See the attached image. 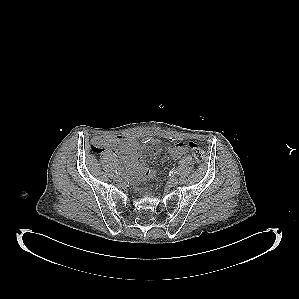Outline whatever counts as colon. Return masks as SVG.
Listing matches in <instances>:
<instances>
[{"instance_id":"obj_1","label":"colon","mask_w":299,"mask_h":299,"mask_svg":"<svg viewBox=\"0 0 299 299\" xmlns=\"http://www.w3.org/2000/svg\"><path fill=\"white\" fill-rule=\"evenodd\" d=\"M108 137H97L93 140L91 149L94 153H101L107 146ZM189 149L191 150L192 156L195 161L199 164L203 163L205 159L204 150L194 142H186Z\"/></svg>"}]
</instances>
